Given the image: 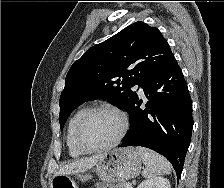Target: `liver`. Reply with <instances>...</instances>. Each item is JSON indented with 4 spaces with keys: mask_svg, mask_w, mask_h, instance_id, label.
<instances>
[{
    "mask_svg": "<svg viewBox=\"0 0 224 188\" xmlns=\"http://www.w3.org/2000/svg\"><path fill=\"white\" fill-rule=\"evenodd\" d=\"M105 154H99L92 157L75 160L71 163L60 166L59 170L56 171L55 175L61 174H75L79 172H85L91 169L98 161H100Z\"/></svg>",
    "mask_w": 224,
    "mask_h": 188,
    "instance_id": "6515ba94",
    "label": "liver"
}]
</instances>
